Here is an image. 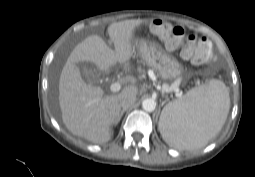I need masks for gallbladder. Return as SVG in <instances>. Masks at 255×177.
<instances>
[{
    "instance_id": "obj_1",
    "label": "gallbladder",
    "mask_w": 255,
    "mask_h": 177,
    "mask_svg": "<svg viewBox=\"0 0 255 177\" xmlns=\"http://www.w3.org/2000/svg\"><path fill=\"white\" fill-rule=\"evenodd\" d=\"M82 74L89 83L94 85L98 83V77L95 70H93L92 68L82 66Z\"/></svg>"
}]
</instances>
